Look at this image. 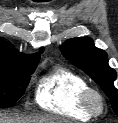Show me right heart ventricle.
<instances>
[{
    "instance_id": "1",
    "label": "right heart ventricle",
    "mask_w": 118,
    "mask_h": 123,
    "mask_svg": "<svg viewBox=\"0 0 118 123\" xmlns=\"http://www.w3.org/2000/svg\"><path fill=\"white\" fill-rule=\"evenodd\" d=\"M88 83L78 73L62 66L49 70L37 84L35 99L44 110L87 121L93 116L80 105V95Z\"/></svg>"
}]
</instances>
